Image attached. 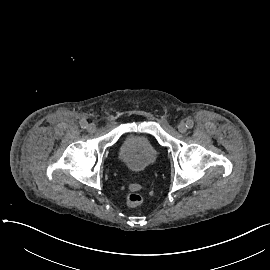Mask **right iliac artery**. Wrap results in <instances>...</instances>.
I'll return each mask as SVG.
<instances>
[{
  "instance_id": "right-iliac-artery-1",
  "label": "right iliac artery",
  "mask_w": 270,
  "mask_h": 270,
  "mask_svg": "<svg viewBox=\"0 0 270 270\" xmlns=\"http://www.w3.org/2000/svg\"><path fill=\"white\" fill-rule=\"evenodd\" d=\"M80 125H81V127L82 128H87V126H88V123H87V121H85V120H82L81 122H80Z\"/></svg>"
}]
</instances>
